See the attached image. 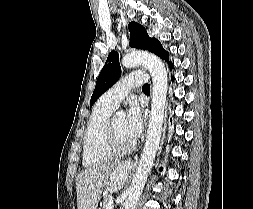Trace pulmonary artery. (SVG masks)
Returning <instances> with one entry per match:
<instances>
[{
  "label": "pulmonary artery",
  "mask_w": 253,
  "mask_h": 209,
  "mask_svg": "<svg viewBox=\"0 0 253 209\" xmlns=\"http://www.w3.org/2000/svg\"><path fill=\"white\" fill-rule=\"evenodd\" d=\"M147 78V74L143 71H132L105 92L102 95L101 100L105 104L116 108L131 89L145 84Z\"/></svg>",
  "instance_id": "1"
}]
</instances>
